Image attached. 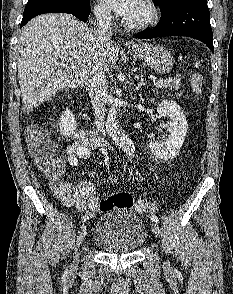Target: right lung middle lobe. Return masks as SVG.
Returning <instances> with one entry per match:
<instances>
[{
    "label": "right lung middle lobe",
    "mask_w": 233,
    "mask_h": 294,
    "mask_svg": "<svg viewBox=\"0 0 233 294\" xmlns=\"http://www.w3.org/2000/svg\"><path fill=\"white\" fill-rule=\"evenodd\" d=\"M90 0H28L22 22L44 13H61L79 7Z\"/></svg>",
    "instance_id": "1"
}]
</instances>
